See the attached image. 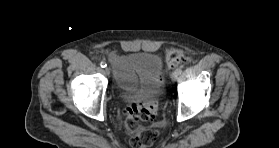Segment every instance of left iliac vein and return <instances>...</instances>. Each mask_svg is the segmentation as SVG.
I'll return each instance as SVG.
<instances>
[{"label":"left iliac vein","instance_id":"4c4485c4","mask_svg":"<svg viewBox=\"0 0 279 148\" xmlns=\"http://www.w3.org/2000/svg\"><path fill=\"white\" fill-rule=\"evenodd\" d=\"M177 79H178V73H177V71H174V72L171 74V80H172L173 82H175V81H177Z\"/></svg>","mask_w":279,"mask_h":148}]
</instances>
